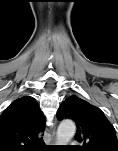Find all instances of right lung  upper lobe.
<instances>
[{
	"mask_svg": "<svg viewBox=\"0 0 118 151\" xmlns=\"http://www.w3.org/2000/svg\"><path fill=\"white\" fill-rule=\"evenodd\" d=\"M44 129L45 117L36 100L16 99L0 116V151L35 150L43 143L38 134Z\"/></svg>",
	"mask_w": 118,
	"mask_h": 151,
	"instance_id": "obj_1",
	"label": "right lung upper lobe"
}]
</instances>
